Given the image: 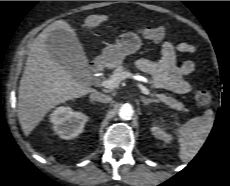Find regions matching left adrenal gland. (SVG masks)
I'll return each instance as SVG.
<instances>
[{"mask_svg": "<svg viewBox=\"0 0 230 186\" xmlns=\"http://www.w3.org/2000/svg\"><path fill=\"white\" fill-rule=\"evenodd\" d=\"M141 101L143 102V105H145V106L150 104V103L157 102L155 99H148V98H145V97H142Z\"/></svg>", "mask_w": 230, "mask_h": 186, "instance_id": "obj_1", "label": "left adrenal gland"}]
</instances>
